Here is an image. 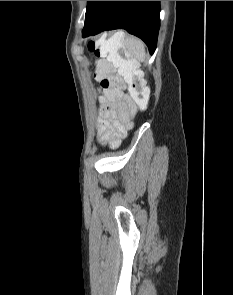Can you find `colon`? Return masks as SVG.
Wrapping results in <instances>:
<instances>
[{"mask_svg": "<svg viewBox=\"0 0 233 295\" xmlns=\"http://www.w3.org/2000/svg\"><path fill=\"white\" fill-rule=\"evenodd\" d=\"M89 50L99 58L95 73L103 93H120L128 85L132 99L145 109L150 89L137 61L125 47L122 33L102 36L89 43Z\"/></svg>", "mask_w": 233, "mask_h": 295, "instance_id": "colon-1", "label": "colon"}]
</instances>
